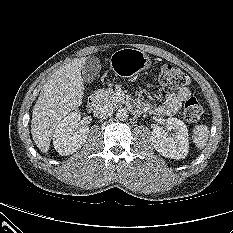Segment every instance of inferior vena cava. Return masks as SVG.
<instances>
[{"label":"inferior vena cava","instance_id":"602c4592","mask_svg":"<svg viewBox=\"0 0 233 233\" xmlns=\"http://www.w3.org/2000/svg\"><path fill=\"white\" fill-rule=\"evenodd\" d=\"M113 113V108L108 104H98L94 109V116L100 119H106Z\"/></svg>","mask_w":233,"mask_h":233}]
</instances>
